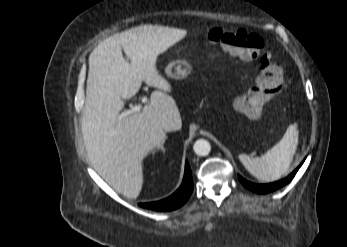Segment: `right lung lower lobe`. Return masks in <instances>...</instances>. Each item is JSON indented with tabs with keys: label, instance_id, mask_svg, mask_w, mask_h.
<instances>
[{
	"label": "right lung lower lobe",
	"instance_id": "1",
	"mask_svg": "<svg viewBox=\"0 0 347 247\" xmlns=\"http://www.w3.org/2000/svg\"><path fill=\"white\" fill-rule=\"evenodd\" d=\"M193 190V181L191 175V168L186 161L185 164V175L181 187L171 196L166 199L151 202V203H141L139 206L152 209L156 211H171L182 206L190 197Z\"/></svg>",
	"mask_w": 347,
	"mask_h": 247
}]
</instances>
